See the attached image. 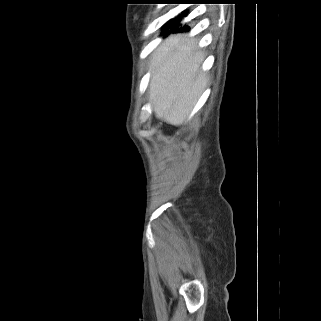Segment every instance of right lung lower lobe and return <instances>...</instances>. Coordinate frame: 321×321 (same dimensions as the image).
Returning <instances> with one entry per match:
<instances>
[{"mask_svg":"<svg viewBox=\"0 0 321 321\" xmlns=\"http://www.w3.org/2000/svg\"><path fill=\"white\" fill-rule=\"evenodd\" d=\"M182 16H187V11H183L179 16H177L176 18L174 19H171L169 20L165 26L163 27L164 29V33H168L169 32V29L172 31V32H177V31H183L184 30H187V27L184 26V27H179V22H180V18Z\"/></svg>","mask_w":321,"mask_h":321,"instance_id":"right-lung-lower-lobe-1","label":"right lung lower lobe"}]
</instances>
